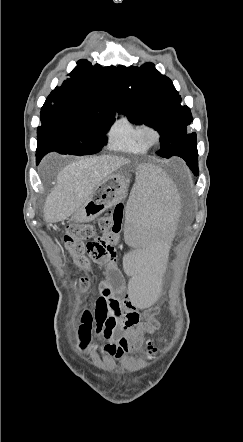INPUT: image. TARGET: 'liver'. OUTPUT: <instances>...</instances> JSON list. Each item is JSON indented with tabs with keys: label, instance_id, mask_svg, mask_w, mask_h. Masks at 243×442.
I'll use <instances>...</instances> for the list:
<instances>
[{
	"label": "liver",
	"instance_id": "6515ba94",
	"mask_svg": "<svg viewBox=\"0 0 243 442\" xmlns=\"http://www.w3.org/2000/svg\"><path fill=\"white\" fill-rule=\"evenodd\" d=\"M129 163L112 155L85 157L64 167L57 175V184L44 204V220L56 223L75 213L95 189L113 172Z\"/></svg>",
	"mask_w": 243,
	"mask_h": 442
}]
</instances>
